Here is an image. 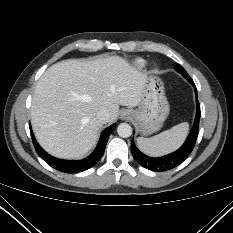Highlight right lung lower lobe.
<instances>
[{"mask_svg": "<svg viewBox=\"0 0 233 233\" xmlns=\"http://www.w3.org/2000/svg\"><path fill=\"white\" fill-rule=\"evenodd\" d=\"M114 128H115V124H112L111 126L107 127L105 130H103L98 145L96 149L93 151V153L89 155L87 158L79 161L62 160L52 157L51 155L46 153L37 143L33 135L31 126H30V132L36 152L48 165L61 172L76 173L89 169L100 160V158L104 154L108 137L110 133L114 130Z\"/></svg>", "mask_w": 233, "mask_h": 233, "instance_id": "1", "label": "right lung lower lobe"}]
</instances>
